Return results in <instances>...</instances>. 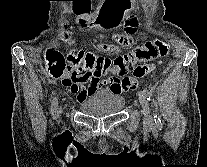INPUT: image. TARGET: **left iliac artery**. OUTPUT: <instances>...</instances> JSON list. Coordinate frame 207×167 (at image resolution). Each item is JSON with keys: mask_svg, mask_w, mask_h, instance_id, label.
<instances>
[{"mask_svg": "<svg viewBox=\"0 0 207 167\" xmlns=\"http://www.w3.org/2000/svg\"><path fill=\"white\" fill-rule=\"evenodd\" d=\"M143 95H144V97H145L148 101H151V94H150V92H149L147 89H144V90H143ZM154 120H155L156 125H157L159 128H161V127H162L161 119H160L157 115H154Z\"/></svg>", "mask_w": 207, "mask_h": 167, "instance_id": "44dca946", "label": "left iliac artery"}]
</instances>
